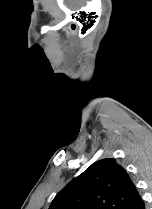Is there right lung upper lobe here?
Instances as JSON below:
<instances>
[{"label": "right lung upper lobe", "mask_w": 152, "mask_h": 209, "mask_svg": "<svg viewBox=\"0 0 152 209\" xmlns=\"http://www.w3.org/2000/svg\"><path fill=\"white\" fill-rule=\"evenodd\" d=\"M137 188L115 159H102L69 182L49 209H124Z\"/></svg>", "instance_id": "right-lung-upper-lobe-1"}]
</instances>
